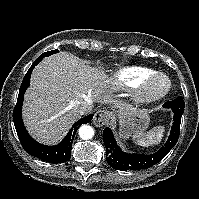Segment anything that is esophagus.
I'll list each match as a JSON object with an SVG mask.
<instances>
[{
  "mask_svg": "<svg viewBox=\"0 0 199 199\" xmlns=\"http://www.w3.org/2000/svg\"><path fill=\"white\" fill-rule=\"evenodd\" d=\"M112 118L111 112L107 110H99L95 113L93 117V123L97 127H102L107 125Z\"/></svg>",
  "mask_w": 199,
  "mask_h": 199,
  "instance_id": "34e87169",
  "label": "esophagus"
}]
</instances>
